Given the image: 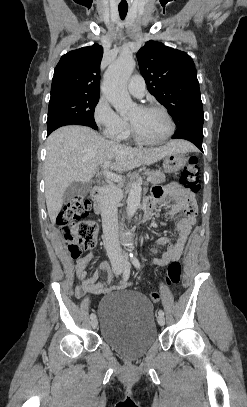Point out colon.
Segmentation results:
<instances>
[{"instance_id":"1","label":"colon","mask_w":247,"mask_h":407,"mask_svg":"<svg viewBox=\"0 0 247 407\" xmlns=\"http://www.w3.org/2000/svg\"><path fill=\"white\" fill-rule=\"evenodd\" d=\"M200 168L198 158L190 156L188 164L180 178L181 186L195 194L200 190ZM90 201L87 198L76 196L72 198L57 217L56 223L68 243V249L73 258H77L82 250H91L98 239L99 228L96 222L87 219ZM181 265L172 261L167 265L164 281L167 285H177L181 281ZM153 303H157L160 296L156 292L150 294Z\"/></svg>"}]
</instances>
